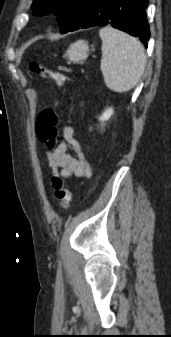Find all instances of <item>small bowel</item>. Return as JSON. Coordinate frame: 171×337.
Segmentation results:
<instances>
[{"label":"small bowel","mask_w":171,"mask_h":337,"mask_svg":"<svg viewBox=\"0 0 171 337\" xmlns=\"http://www.w3.org/2000/svg\"><path fill=\"white\" fill-rule=\"evenodd\" d=\"M59 108L58 105H56ZM63 142L54 150L46 149L45 157L52 170V178L61 176L65 180L71 177H90L92 168L81 144L74 137L71 126L62 128Z\"/></svg>","instance_id":"c3829d8e"}]
</instances>
